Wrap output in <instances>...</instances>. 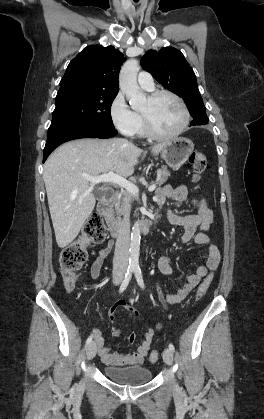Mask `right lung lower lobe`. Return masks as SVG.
Here are the masks:
<instances>
[{"mask_svg":"<svg viewBox=\"0 0 264 419\" xmlns=\"http://www.w3.org/2000/svg\"><path fill=\"white\" fill-rule=\"evenodd\" d=\"M115 128H106L99 126H80L69 129L56 137L47 140L44 154L43 162L47 159L49 154L60 144L79 138H110L117 134Z\"/></svg>","mask_w":264,"mask_h":419,"instance_id":"obj_1","label":"right lung lower lobe"}]
</instances>
